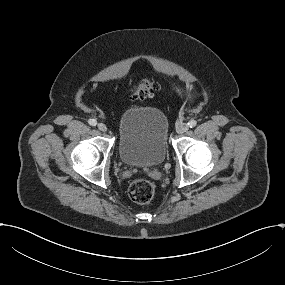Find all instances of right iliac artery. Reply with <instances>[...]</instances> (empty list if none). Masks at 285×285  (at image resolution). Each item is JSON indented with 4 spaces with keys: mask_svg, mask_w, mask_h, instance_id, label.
I'll return each mask as SVG.
<instances>
[{
    "mask_svg": "<svg viewBox=\"0 0 285 285\" xmlns=\"http://www.w3.org/2000/svg\"><path fill=\"white\" fill-rule=\"evenodd\" d=\"M88 123H89L91 126H96L97 121H96L95 119H90V120L88 121Z\"/></svg>",
    "mask_w": 285,
    "mask_h": 285,
    "instance_id": "1",
    "label": "right iliac artery"
}]
</instances>
